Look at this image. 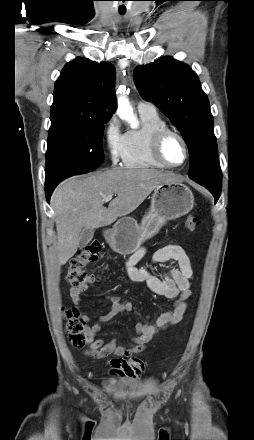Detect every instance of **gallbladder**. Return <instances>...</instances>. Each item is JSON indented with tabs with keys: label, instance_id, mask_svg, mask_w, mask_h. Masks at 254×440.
I'll return each mask as SVG.
<instances>
[{
	"label": "gallbladder",
	"instance_id": "obj_1",
	"mask_svg": "<svg viewBox=\"0 0 254 440\" xmlns=\"http://www.w3.org/2000/svg\"><path fill=\"white\" fill-rule=\"evenodd\" d=\"M94 235V230L90 228H86L81 233L80 243L79 247L83 248L86 247L87 244L92 240Z\"/></svg>",
	"mask_w": 254,
	"mask_h": 440
}]
</instances>
